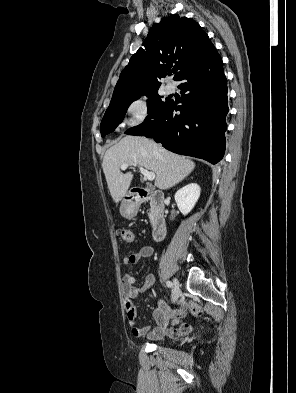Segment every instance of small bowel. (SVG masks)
Listing matches in <instances>:
<instances>
[{"label": "small bowel", "instance_id": "obj_1", "mask_svg": "<svg viewBox=\"0 0 296 393\" xmlns=\"http://www.w3.org/2000/svg\"><path fill=\"white\" fill-rule=\"evenodd\" d=\"M155 248L152 245L141 247L136 252L124 258L125 273L122 279L124 288V304L127 312L128 323L131 327L132 333L136 337L147 336L150 340H162L166 336L177 337L187 334L192 327L182 320L187 314V307L184 302H180L175 309L170 308L164 300H159L157 307L154 309L153 317L156 322L155 327L137 325L136 305L134 298L143 292L149 291L154 284V276L149 274L146 276L142 285H136V279L128 272L130 265L137 264L144 258L151 257L154 254Z\"/></svg>", "mask_w": 296, "mask_h": 393}]
</instances>
